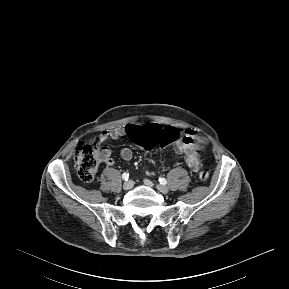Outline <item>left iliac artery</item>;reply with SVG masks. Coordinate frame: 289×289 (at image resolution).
Wrapping results in <instances>:
<instances>
[{
    "label": "left iliac artery",
    "instance_id": "1",
    "mask_svg": "<svg viewBox=\"0 0 289 289\" xmlns=\"http://www.w3.org/2000/svg\"><path fill=\"white\" fill-rule=\"evenodd\" d=\"M159 182H160V184L161 185H166L167 184V181H166V179L165 178H159Z\"/></svg>",
    "mask_w": 289,
    "mask_h": 289
}]
</instances>
